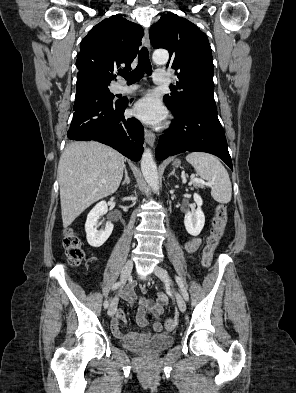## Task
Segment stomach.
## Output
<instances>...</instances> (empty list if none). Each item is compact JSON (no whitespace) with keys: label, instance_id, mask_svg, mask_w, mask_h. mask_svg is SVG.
<instances>
[{"label":"stomach","instance_id":"stomach-1","mask_svg":"<svg viewBox=\"0 0 296 393\" xmlns=\"http://www.w3.org/2000/svg\"><path fill=\"white\" fill-rule=\"evenodd\" d=\"M180 164H181V162L178 159L174 160V162H173L174 166H179Z\"/></svg>","mask_w":296,"mask_h":393}]
</instances>
